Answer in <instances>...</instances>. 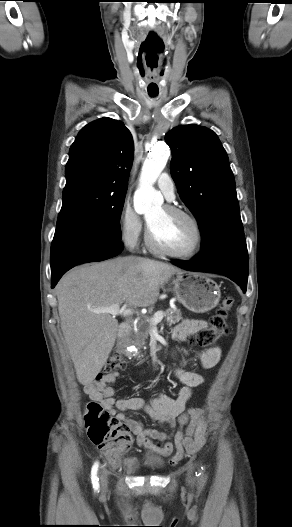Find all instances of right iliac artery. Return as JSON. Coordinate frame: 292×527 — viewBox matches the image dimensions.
Masks as SVG:
<instances>
[{
	"label": "right iliac artery",
	"instance_id": "82829eb1",
	"mask_svg": "<svg viewBox=\"0 0 292 527\" xmlns=\"http://www.w3.org/2000/svg\"><path fill=\"white\" fill-rule=\"evenodd\" d=\"M98 466H99L98 462H95L91 469V481H92L93 488L95 491L99 489V478L97 476Z\"/></svg>",
	"mask_w": 292,
	"mask_h": 527
}]
</instances>
